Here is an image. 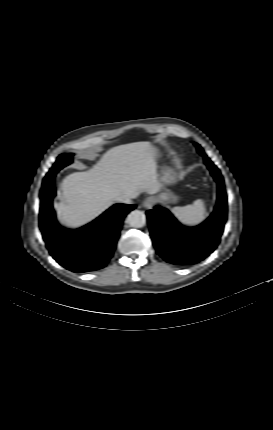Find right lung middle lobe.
<instances>
[{"label": "right lung middle lobe", "mask_w": 273, "mask_h": 430, "mask_svg": "<svg viewBox=\"0 0 273 430\" xmlns=\"http://www.w3.org/2000/svg\"><path fill=\"white\" fill-rule=\"evenodd\" d=\"M73 154H61L58 158L56 163L52 166V168L49 170L48 174L46 175L45 179H47L50 175L55 176L56 173L65 167L66 165L70 164L72 162Z\"/></svg>", "instance_id": "1"}]
</instances>
